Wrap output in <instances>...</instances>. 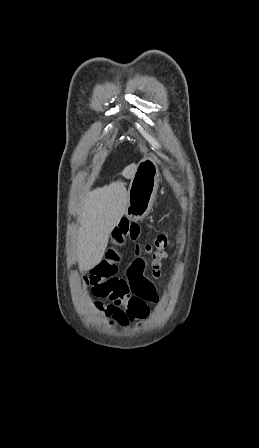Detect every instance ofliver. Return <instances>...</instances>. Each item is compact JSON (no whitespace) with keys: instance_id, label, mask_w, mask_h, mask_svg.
Returning <instances> with one entry per match:
<instances>
[{"instance_id":"obj_1","label":"liver","mask_w":259,"mask_h":448,"mask_svg":"<svg viewBox=\"0 0 259 448\" xmlns=\"http://www.w3.org/2000/svg\"><path fill=\"white\" fill-rule=\"evenodd\" d=\"M136 172L137 166H130L123 174L133 178ZM127 198L122 182H113L86 194L78 212L80 228L76 246L80 272L100 264L109 236L126 212Z\"/></svg>"}]
</instances>
